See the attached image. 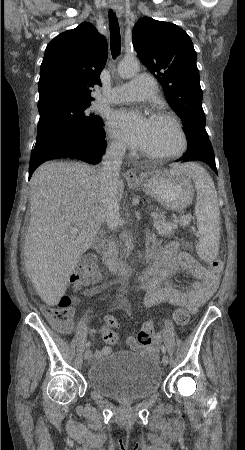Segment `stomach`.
<instances>
[{
    "label": "stomach",
    "instance_id": "stomach-1",
    "mask_svg": "<svg viewBox=\"0 0 245 450\" xmlns=\"http://www.w3.org/2000/svg\"><path fill=\"white\" fill-rule=\"evenodd\" d=\"M138 184L148 195L171 211L185 209L194 198L191 179L181 171L180 166L153 171L146 181Z\"/></svg>",
    "mask_w": 245,
    "mask_h": 450
}]
</instances>
